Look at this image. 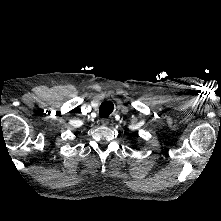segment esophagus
I'll return each mask as SVG.
<instances>
[{
	"instance_id": "esophagus-1",
	"label": "esophagus",
	"mask_w": 221,
	"mask_h": 221,
	"mask_svg": "<svg viewBox=\"0 0 221 221\" xmlns=\"http://www.w3.org/2000/svg\"><path fill=\"white\" fill-rule=\"evenodd\" d=\"M100 122H101L102 125H108L109 124V120L107 118H102L100 120Z\"/></svg>"
}]
</instances>
